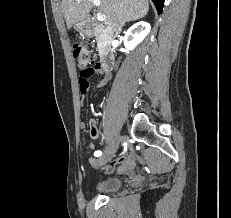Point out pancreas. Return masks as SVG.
Listing matches in <instances>:
<instances>
[{
  "label": "pancreas",
  "mask_w": 231,
  "mask_h": 218,
  "mask_svg": "<svg viewBox=\"0 0 231 218\" xmlns=\"http://www.w3.org/2000/svg\"><path fill=\"white\" fill-rule=\"evenodd\" d=\"M97 41H98V44H100L101 41H102V37H101V36H98V37H97Z\"/></svg>",
  "instance_id": "obj_1"
}]
</instances>
